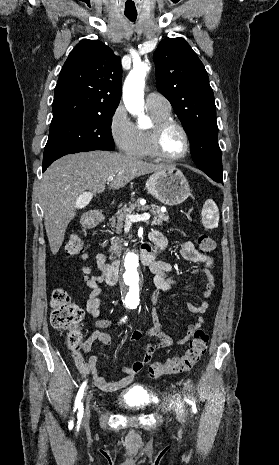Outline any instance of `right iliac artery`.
Here are the masks:
<instances>
[{
	"instance_id": "82829eb1",
	"label": "right iliac artery",
	"mask_w": 279,
	"mask_h": 465,
	"mask_svg": "<svg viewBox=\"0 0 279 465\" xmlns=\"http://www.w3.org/2000/svg\"><path fill=\"white\" fill-rule=\"evenodd\" d=\"M125 319H126V317L123 318L122 321L125 322ZM85 387H86V382H84L81 385V387L79 389V392H78V394L76 396V400H75L74 411L76 409H78V414H77L78 415V422L81 421L82 416H83V404H82L81 400H82V397H83V394H84Z\"/></svg>"
}]
</instances>
